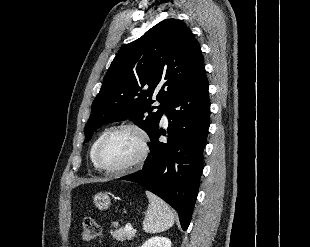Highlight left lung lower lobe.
Listing matches in <instances>:
<instances>
[{
	"instance_id": "obj_1",
	"label": "left lung lower lobe",
	"mask_w": 310,
	"mask_h": 247,
	"mask_svg": "<svg viewBox=\"0 0 310 247\" xmlns=\"http://www.w3.org/2000/svg\"><path fill=\"white\" fill-rule=\"evenodd\" d=\"M208 86L203 66L165 108L168 140L159 141L165 131L158 127L150 137V154L143 169L122 177L172 206L183 230L190 224L203 171V150L210 125Z\"/></svg>"
}]
</instances>
